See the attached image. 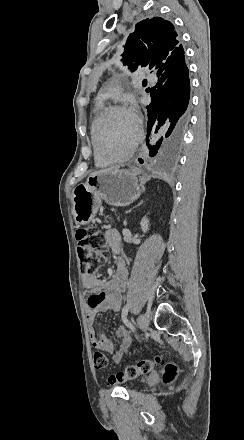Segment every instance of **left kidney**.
I'll return each instance as SVG.
<instances>
[{"mask_svg":"<svg viewBox=\"0 0 244 440\" xmlns=\"http://www.w3.org/2000/svg\"><path fill=\"white\" fill-rule=\"evenodd\" d=\"M140 226L142 228V232H148L149 230V220H147L146 216L145 218H142L140 222Z\"/></svg>","mask_w":244,"mask_h":440,"instance_id":"obj_1","label":"left kidney"}]
</instances>
